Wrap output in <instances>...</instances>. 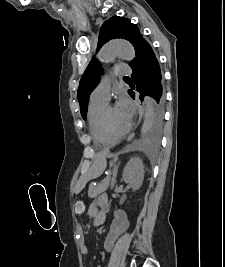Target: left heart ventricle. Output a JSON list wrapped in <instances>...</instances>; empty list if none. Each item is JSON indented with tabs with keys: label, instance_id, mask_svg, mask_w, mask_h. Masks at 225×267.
I'll use <instances>...</instances> for the list:
<instances>
[{
	"label": "left heart ventricle",
	"instance_id": "1",
	"mask_svg": "<svg viewBox=\"0 0 225 267\" xmlns=\"http://www.w3.org/2000/svg\"><path fill=\"white\" fill-rule=\"evenodd\" d=\"M107 121L110 128L116 133H120L128 127V125L123 121V119L119 115L116 108H111L108 111Z\"/></svg>",
	"mask_w": 225,
	"mask_h": 267
}]
</instances>
